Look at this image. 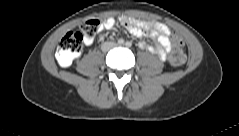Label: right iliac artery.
Here are the masks:
<instances>
[{
  "instance_id": "obj_1",
  "label": "right iliac artery",
  "mask_w": 239,
  "mask_h": 136,
  "mask_svg": "<svg viewBox=\"0 0 239 136\" xmlns=\"http://www.w3.org/2000/svg\"><path fill=\"white\" fill-rule=\"evenodd\" d=\"M118 44H120V45H121V44H124V40H123V39H119V40H118Z\"/></svg>"
}]
</instances>
